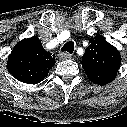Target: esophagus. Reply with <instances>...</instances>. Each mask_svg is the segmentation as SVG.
Returning a JSON list of instances; mask_svg holds the SVG:
<instances>
[{"mask_svg":"<svg viewBox=\"0 0 127 127\" xmlns=\"http://www.w3.org/2000/svg\"><path fill=\"white\" fill-rule=\"evenodd\" d=\"M71 54L70 53H67V52H60L59 54H58V57H59V59L60 60H66V59H69V58H71Z\"/></svg>","mask_w":127,"mask_h":127,"instance_id":"obj_1","label":"esophagus"}]
</instances>
